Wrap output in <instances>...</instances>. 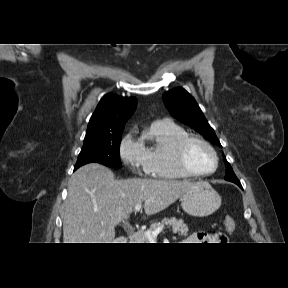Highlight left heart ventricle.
<instances>
[{
  "label": "left heart ventricle",
  "mask_w": 288,
  "mask_h": 288,
  "mask_svg": "<svg viewBox=\"0 0 288 288\" xmlns=\"http://www.w3.org/2000/svg\"><path fill=\"white\" fill-rule=\"evenodd\" d=\"M187 162L191 168L199 172H210L215 166L212 153L199 143H192L188 147Z\"/></svg>",
  "instance_id": "obj_1"
}]
</instances>
